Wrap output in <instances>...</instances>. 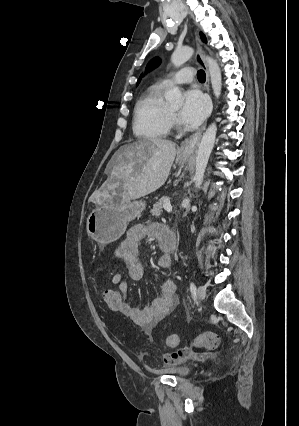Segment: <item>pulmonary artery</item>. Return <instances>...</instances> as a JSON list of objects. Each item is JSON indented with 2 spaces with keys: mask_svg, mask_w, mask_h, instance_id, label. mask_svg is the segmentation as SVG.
Returning a JSON list of instances; mask_svg holds the SVG:
<instances>
[{
  "mask_svg": "<svg viewBox=\"0 0 299 426\" xmlns=\"http://www.w3.org/2000/svg\"><path fill=\"white\" fill-rule=\"evenodd\" d=\"M195 72L194 69L191 67H185L179 70L178 72L174 73L171 76L165 77L162 80V84L165 86L172 85V84H183V83H189L194 79Z\"/></svg>",
  "mask_w": 299,
  "mask_h": 426,
  "instance_id": "obj_1",
  "label": "pulmonary artery"
}]
</instances>
